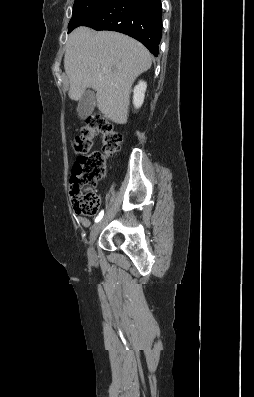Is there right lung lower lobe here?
Wrapping results in <instances>:
<instances>
[{"instance_id": "obj_1", "label": "right lung lower lobe", "mask_w": 254, "mask_h": 397, "mask_svg": "<svg viewBox=\"0 0 254 397\" xmlns=\"http://www.w3.org/2000/svg\"><path fill=\"white\" fill-rule=\"evenodd\" d=\"M82 26L127 34L158 56L162 34L161 0H109Z\"/></svg>"}]
</instances>
